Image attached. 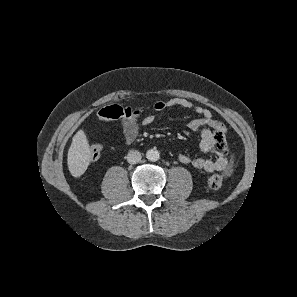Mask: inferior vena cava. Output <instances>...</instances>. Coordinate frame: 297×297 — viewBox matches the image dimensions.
Returning a JSON list of instances; mask_svg holds the SVG:
<instances>
[{
	"label": "inferior vena cava",
	"mask_w": 297,
	"mask_h": 297,
	"mask_svg": "<svg viewBox=\"0 0 297 297\" xmlns=\"http://www.w3.org/2000/svg\"><path fill=\"white\" fill-rule=\"evenodd\" d=\"M126 158H127L128 163L137 164L138 162L141 161L142 156L139 151L132 150L128 153Z\"/></svg>",
	"instance_id": "inferior-vena-cava-1"
}]
</instances>
